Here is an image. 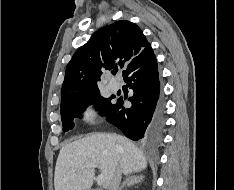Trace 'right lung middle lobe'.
Masks as SVG:
<instances>
[{
    "instance_id": "1",
    "label": "right lung middle lobe",
    "mask_w": 234,
    "mask_h": 190,
    "mask_svg": "<svg viewBox=\"0 0 234 190\" xmlns=\"http://www.w3.org/2000/svg\"><path fill=\"white\" fill-rule=\"evenodd\" d=\"M114 96L106 99L100 95L99 90L85 93L73 100L61 104V118L63 131L67 132L74 127V118H81L84 110L93 102H97L96 106L101 109V112L108 116L115 104L111 103Z\"/></svg>"
}]
</instances>
